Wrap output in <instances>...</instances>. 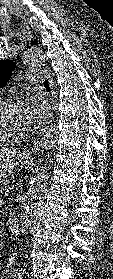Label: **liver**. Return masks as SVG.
<instances>
[{"mask_svg": "<svg viewBox=\"0 0 113 279\" xmlns=\"http://www.w3.org/2000/svg\"><path fill=\"white\" fill-rule=\"evenodd\" d=\"M17 153L14 150L3 149L0 150V162L13 161Z\"/></svg>", "mask_w": 113, "mask_h": 279, "instance_id": "obj_1", "label": "liver"}]
</instances>
